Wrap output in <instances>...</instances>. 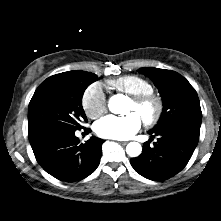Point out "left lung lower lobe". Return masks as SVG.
<instances>
[{
  "mask_svg": "<svg viewBox=\"0 0 221 221\" xmlns=\"http://www.w3.org/2000/svg\"><path fill=\"white\" fill-rule=\"evenodd\" d=\"M200 126L187 121H175L149 134L157 136L153 145L150 140L143 145L141 155L131 158L130 163L141 176L164 181L180 172L190 160L199 141Z\"/></svg>",
  "mask_w": 221,
  "mask_h": 221,
  "instance_id": "0a47b994",
  "label": "left lung lower lobe"
}]
</instances>
